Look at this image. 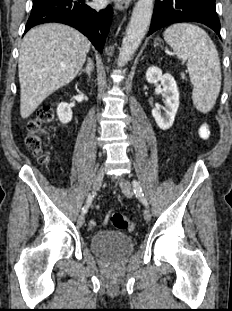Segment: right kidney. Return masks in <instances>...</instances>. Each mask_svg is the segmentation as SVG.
Masks as SVG:
<instances>
[{
  "label": "right kidney",
  "instance_id": "ca27d5eb",
  "mask_svg": "<svg viewBox=\"0 0 232 311\" xmlns=\"http://www.w3.org/2000/svg\"><path fill=\"white\" fill-rule=\"evenodd\" d=\"M57 115L63 124L69 123L72 119L71 106L66 102L60 103L57 107Z\"/></svg>",
  "mask_w": 232,
  "mask_h": 311
}]
</instances>
